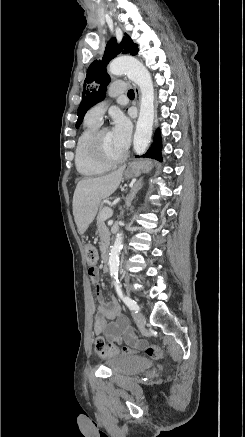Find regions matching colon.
Instances as JSON below:
<instances>
[{"label":"colon","mask_w":245,"mask_h":437,"mask_svg":"<svg viewBox=\"0 0 245 437\" xmlns=\"http://www.w3.org/2000/svg\"><path fill=\"white\" fill-rule=\"evenodd\" d=\"M85 258L88 265V272L93 273L96 269L97 263V250L93 245H87L85 247ZM95 351L100 356L109 355H129L136 352V350L129 346L119 347L114 343H106L105 340L98 336L95 339ZM143 352L152 359H160L164 356V350L157 345H147L143 348Z\"/></svg>","instance_id":"obj_1"}]
</instances>
